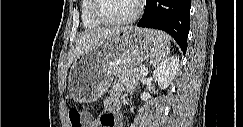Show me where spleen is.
<instances>
[{"label": "spleen", "mask_w": 243, "mask_h": 127, "mask_svg": "<svg viewBox=\"0 0 243 127\" xmlns=\"http://www.w3.org/2000/svg\"><path fill=\"white\" fill-rule=\"evenodd\" d=\"M154 50L151 54V64L159 66L167 58L170 50V41L168 36L163 32H154L152 36Z\"/></svg>", "instance_id": "1"}]
</instances>
